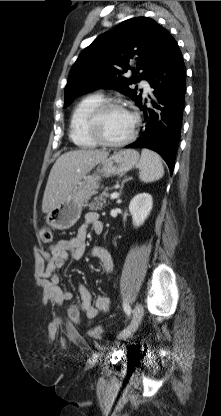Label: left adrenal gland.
Wrapping results in <instances>:
<instances>
[{
  "label": "left adrenal gland",
  "mask_w": 221,
  "mask_h": 416,
  "mask_svg": "<svg viewBox=\"0 0 221 416\" xmlns=\"http://www.w3.org/2000/svg\"><path fill=\"white\" fill-rule=\"evenodd\" d=\"M131 179H132V177H128V178L125 177V179H123V181L121 182V186H120V193H121V191H122V189L124 187L125 182H127V181H129Z\"/></svg>",
  "instance_id": "a2214340"
}]
</instances>
